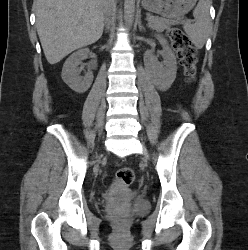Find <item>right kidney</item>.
Masks as SVG:
<instances>
[{
	"label": "right kidney",
	"instance_id": "ca27d5eb",
	"mask_svg": "<svg viewBox=\"0 0 248 250\" xmlns=\"http://www.w3.org/2000/svg\"><path fill=\"white\" fill-rule=\"evenodd\" d=\"M89 54L88 48H83L70 55L65 61L61 77L63 81L75 92H86L93 82V73L88 71L84 77L80 76L79 65Z\"/></svg>",
	"mask_w": 248,
	"mask_h": 250
}]
</instances>
